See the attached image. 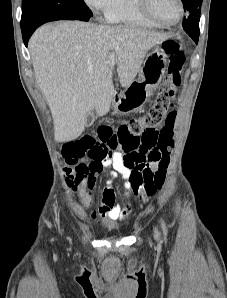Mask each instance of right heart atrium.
Instances as JSON below:
<instances>
[{"label": "right heart atrium", "mask_w": 227, "mask_h": 298, "mask_svg": "<svg viewBox=\"0 0 227 298\" xmlns=\"http://www.w3.org/2000/svg\"><path fill=\"white\" fill-rule=\"evenodd\" d=\"M115 0H84L85 4L94 12L104 14L111 8Z\"/></svg>", "instance_id": "d8ad5b80"}]
</instances>
